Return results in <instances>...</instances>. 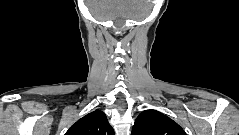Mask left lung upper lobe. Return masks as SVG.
<instances>
[{"mask_svg": "<svg viewBox=\"0 0 239 135\" xmlns=\"http://www.w3.org/2000/svg\"><path fill=\"white\" fill-rule=\"evenodd\" d=\"M131 135H186V133L168 116L149 109L138 115Z\"/></svg>", "mask_w": 239, "mask_h": 135, "instance_id": "obj_1", "label": "left lung upper lobe"}]
</instances>
